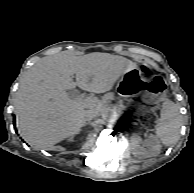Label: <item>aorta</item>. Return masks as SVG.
Listing matches in <instances>:
<instances>
[{
  "mask_svg": "<svg viewBox=\"0 0 194 193\" xmlns=\"http://www.w3.org/2000/svg\"><path fill=\"white\" fill-rule=\"evenodd\" d=\"M119 116V112L116 109H109L105 112L104 119L109 123H114Z\"/></svg>",
  "mask_w": 194,
  "mask_h": 193,
  "instance_id": "obj_1",
  "label": "aorta"
}]
</instances>
